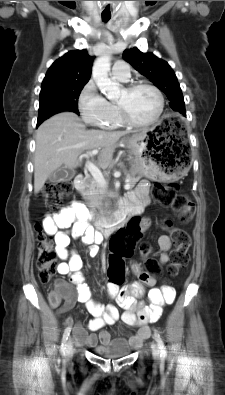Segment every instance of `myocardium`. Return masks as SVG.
<instances>
[{
	"label": "myocardium",
	"mask_w": 225,
	"mask_h": 395,
	"mask_svg": "<svg viewBox=\"0 0 225 395\" xmlns=\"http://www.w3.org/2000/svg\"><path fill=\"white\" fill-rule=\"evenodd\" d=\"M139 88H148V89L152 90L157 97V100H158L157 113L150 121H147V122L134 121L129 117L125 107L121 103L117 102L116 107L118 109L120 119L124 125L134 127V128H146V127L153 126L161 118L163 111H164V97L158 87H156L155 85H153L151 83L144 82V81L131 83V84L125 86L124 90L129 93H132Z\"/></svg>",
	"instance_id": "obj_1"
}]
</instances>
